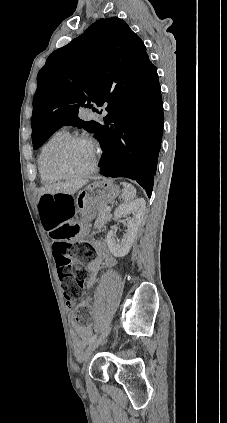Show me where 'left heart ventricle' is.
Segmentation results:
<instances>
[{"label": "left heart ventricle", "mask_w": 227, "mask_h": 423, "mask_svg": "<svg viewBox=\"0 0 227 423\" xmlns=\"http://www.w3.org/2000/svg\"><path fill=\"white\" fill-rule=\"evenodd\" d=\"M95 158L94 149L84 143H74L68 146L61 155V162L72 173L87 170Z\"/></svg>", "instance_id": "1"}]
</instances>
